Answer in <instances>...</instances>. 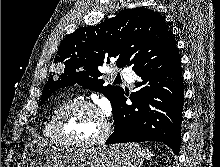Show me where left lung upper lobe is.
Returning a JSON list of instances; mask_svg holds the SVG:
<instances>
[{"instance_id": "left-lung-upper-lobe-1", "label": "left lung upper lobe", "mask_w": 220, "mask_h": 167, "mask_svg": "<svg viewBox=\"0 0 220 167\" xmlns=\"http://www.w3.org/2000/svg\"><path fill=\"white\" fill-rule=\"evenodd\" d=\"M176 48L174 35L158 12L144 8L125 9L96 26L84 27L61 42L54 62H64L58 80L50 75L40 104L59 88L79 84L103 93L112 108L124 94L119 86H104L99 67L117 58V66L133 70L165 57Z\"/></svg>"}]
</instances>
